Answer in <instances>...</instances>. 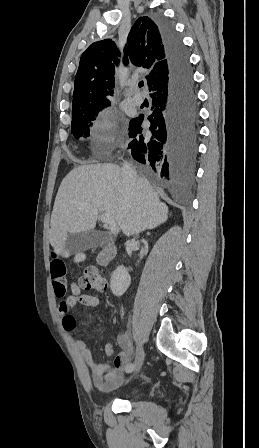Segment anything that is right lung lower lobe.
<instances>
[{
  "mask_svg": "<svg viewBox=\"0 0 259 448\" xmlns=\"http://www.w3.org/2000/svg\"><path fill=\"white\" fill-rule=\"evenodd\" d=\"M163 38L169 66V82L153 93L149 133L143 134L144 115L129 123L128 149L132 157L148 164L160 177L184 186L192 182L197 160V98L191 64L173 26L156 20Z\"/></svg>",
  "mask_w": 259,
  "mask_h": 448,
  "instance_id": "1",
  "label": "right lung lower lobe"
}]
</instances>
